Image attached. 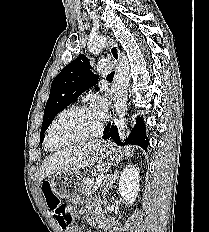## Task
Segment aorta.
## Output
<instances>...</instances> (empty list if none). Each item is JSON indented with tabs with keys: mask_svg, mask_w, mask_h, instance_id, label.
Returning a JSON list of instances; mask_svg holds the SVG:
<instances>
[{
	"mask_svg": "<svg viewBox=\"0 0 209 232\" xmlns=\"http://www.w3.org/2000/svg\"><path fill=\"white\" fill-rule=\"evenodd\" d=\"M109 41L104 35L92 38L88 42V50L93 54L100 53ZM130 82V65L125 55H121L117 72L113 80L114 106L116 111V125L120 138L124 140L126 132L127 93Z\"/></svg>",
	"mask_w": 209,
	"mask_h": 232,
	"instance_id": "obj_1",
	"label": "aorta"
}]
</instances>
